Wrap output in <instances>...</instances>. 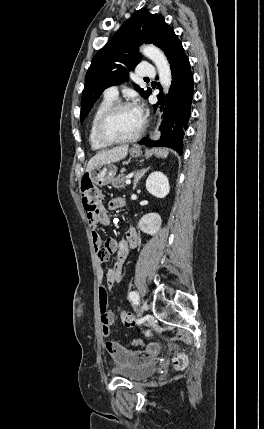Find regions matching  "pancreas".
<instances>
[{"instance_id": "1", "label": "pancreas", "mask_w": 264, "mask_h": 429, "mask_svg": "<svg viewBox=\"0 0 264 429\" xmlns=\"http://www.w3.org/2000/svg\"><path fill=\"white\" fill-rule=\"evenodd\" d=\"M125 174L121 171V173L112 179L111 184L114 188H124L125 187Z\"/></svg>"}]
</instances>
